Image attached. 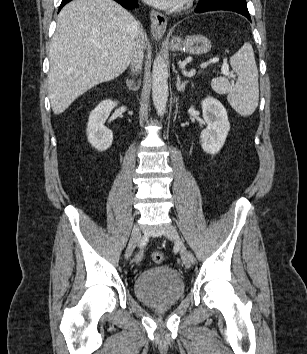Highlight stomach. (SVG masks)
<instances>
[{"instance_id": "0dacf381", "label": "stomach", "mask_w": 307, "mask_h": 354, "mask_svg": "<svg viewBox=\"0 0 307 354\" xmlns=\"http://www.w3.org/2000/svg\"><path fill=\"white\" fill-rule=\"evenodd\" d=\"M171 49L183 51L192 55H203L210 51V40L200 34L187 35L184 39L174 37L171 41Z\"/></svg>"}]
</instances>
